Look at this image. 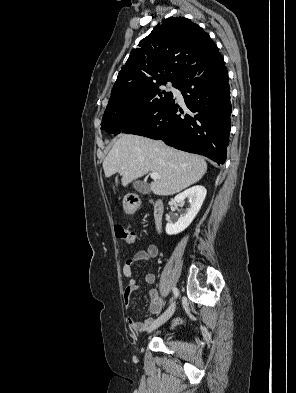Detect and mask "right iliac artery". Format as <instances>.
I'll use <instances>...</instances> for the list:
<instances>
[{
  "label": "right iliac artery",
  "mask_w": 296,
  "mask_h": 393,
  "mask_svg": "<svg viewBox=\"0 0 296 393\" xmlns=\"http://www.w3.org/2000/svg\"><path fill=\"white\" fill-rule=\"evenodd\" d=\"M173 294H174L175 298H177L178 295H179V291H178V289L176 287L173 288Z\"/></svg>",
  "instance_id": "right-iliac-artery-1"
}]
</instances>
